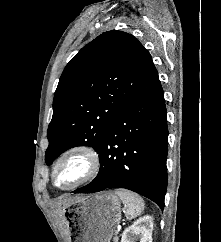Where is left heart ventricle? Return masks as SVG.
I'll return each instance as SVG.
<instances>
[{"mask_svg":"<svg viewBox=\"0 0 221 242\" xmlns=\"http://www.w3.org/2000/svg\"><path fill=\"white\" fill-rule=\"evenodd\" d=\"M86 170V161L80 155L67 157L58 167L55 181L58 186H68L78 180Z\"/></svg>","mask_w":221,"mask_h":242,"instance_id":"obj_1","label":"left heart ventricle"}]
</instances>
